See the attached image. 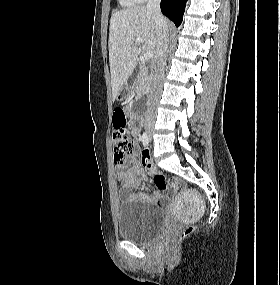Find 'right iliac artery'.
<instances>
[{
  "instance_id": "obj_1",
  "label": "right iliac artery",
  "mask_w": 280,
  "mask_h": 285,
  "mask_svg": "<svg viewBox=\"0 0 280 285\" xmlns=\"http://www.w3.org/2000/svg\"><path fill=\"white\" fill-rule=\"evenodd\" d=\"M141 141L143 142V145L145 147H148V144H149V138H148V135L146 132H144L141 136Z\"/></svg>"
}]
</instances>
